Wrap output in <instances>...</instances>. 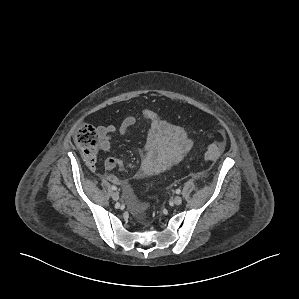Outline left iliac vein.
<instances>
[{
    "label": "left iliac vein",
    "mask_w": 299,
    "mask_h": 299,
    "mask_svg": "<svg viewBox=\"0 0 299 299\" xmlns=\"http://www.w3.org/2000/svg\"><path fill=\"white\" fill-rule=\"evenodd\" d=\"M175 205H180L182 203V197L176 196L173 200Z\"/></svg>",
    "instance_id": "1"
}]
</instances>
